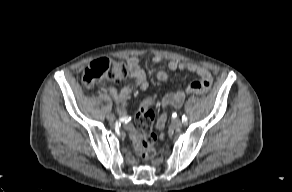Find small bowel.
<instances>
[{"label": "small bowel", "instance_id": "small-bowel-1", "mask_svg": "<svg viewBox=\"0 0 292 192\" xmlns=\"http://www.w3.org/2000/svg\"><path fill=\"white\" fill-rule=\"evenodd\" d=\"M161 60L162 59L160 56H154L152 59L153 63L155 64H159ZM125 65L129 71V76L135 79L134 84L124 87L121 91H117V89L112 86H108L106 88V92L115 99V101L118 103L122 111L126 107L129 96L135 89L146 90L148 87L147 75H146L145 70L141 67L139 58L129 57L125 61ZM167 67L171 71H175V70L189 71V72L196 73L199 76V80L193 81L188 86L187 90L190 93L204 94L211 86V83H212L211 73L209 72L207 68L203 66H199L193 63H182V62H177V61H170ZM167 78H168V74L166 71L160 70L157 73V79L159 81H165L167 80ZM184 99H185V93L179 90L175 93H170L164 96L159 101V105L160 106L171 105V106L179 107L182 105ZM158 121L159 122L156 125L157 130L160 132L165 131L167 128L166 124L169 121L168 116L165 114H162L159 116ZM125 126L128 132L130 133V136L134 144L136 145L138 149H140L141 142L143 139L142 135L135 129V127L132 124L126 122ZM153 140L155 142H161L163 140V135L161 133H155L153 135Z\"/></svg>", "mask_w": 292, "mask_h": 192}]
</instances>
